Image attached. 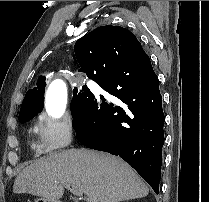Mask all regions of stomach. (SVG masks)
Segmentation results:
<instances>
[{
    "label": "stomach",
    "instance_id": "1",
    "mask_svg": "<svg viewBox=\"0 0 209 202\" xmlns=\"http://www.w3.org/2000/svg\"><path fill=\"white\" fill-rule=\"evenodd\" d=\"M34 202H59L53 199H47V198H43V197H38L35 199Z\"/></svg>",
    "mask_w": 209,
    "mask_h": 202
}]
</instances>
